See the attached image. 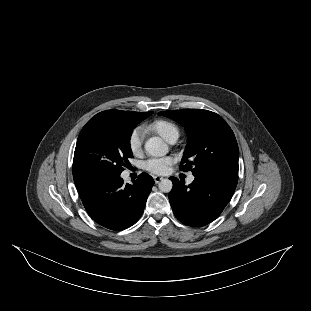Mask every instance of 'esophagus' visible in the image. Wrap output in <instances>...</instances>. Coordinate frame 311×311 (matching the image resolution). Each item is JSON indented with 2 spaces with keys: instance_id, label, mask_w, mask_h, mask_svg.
I'll return each mask as SVG.
<instances>
[{
  "instance_id": "obj_1",
  "label": "esophagus",
  "mask_w": 311,
  "mask_h": 311,
  "mask_svg": "<svg viewBox=\"0 0 311 311\" xmlns=\"http://www.w3.org/2000/svg\"><path fill=\"white\" fill-rule=\"evenodd\" d=\"M153 178L156 184L159 183L163 179L162 176H153Z\"/></svg>"
}]
</instances>
